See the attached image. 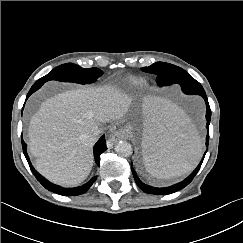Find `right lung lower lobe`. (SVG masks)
<instances>
[{"instance_id":"obj_1","label":"right lung lower lobe","mask_w":243,"mask_h":243,"mask_svg":"<svg viewBox=\"0 0 243 243\" xmlns=\"http://www.w3.org/2000/svg\"><path fill=\"white\" fill-rule=\"evenodd\" d=\"M43 84H37L35 83L28 95L27 98L36 90H38ZM26 144L25 142L22 140V148H23V152L24 155L29 163V166L31 168V171L33 172V174L35 175L36 179L42 184V186H44L46 189H48L49 191H52L54 193L60 194V195H64V196H76V195H80L85 193L90 187L91 185L95 182L96 177H93L89 182H87L86 184L79 186V187H75V188H63L61 186L55 185L51 182H49L47 179H45L43 176H41L32 166L28 154L26 152ZM107 150L106 147V142H105V135H103L98 142L95 144L94 146V158L96 161V164L99 165L100 164V155Z\"/></svg>"}]
</instances>
